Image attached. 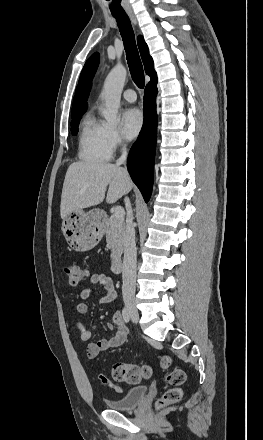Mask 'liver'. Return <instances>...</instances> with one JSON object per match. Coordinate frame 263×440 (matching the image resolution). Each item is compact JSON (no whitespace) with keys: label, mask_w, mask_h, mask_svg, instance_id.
<instances>
[{"label":"liver","mask_w":263,"mask_h":440,"mask_svg":"<svg viewBox=\"0 0 263 440\" xmlns=\"http://www.w3.org/2000/svg\"><path fill=\"white\" fill-rule=\"evenodd\" d=\"M107 203H115L128 193L133 183L129 175L114 164L79 161L72 163L66 172L60 204L64 219L70 212L82 210L103 202L106 189Z\"/></svg>","instance_id":"6515ba94"}]
</instances>
